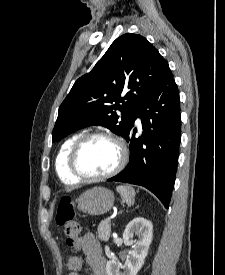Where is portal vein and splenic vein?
<instances>
[{"label": "portal vein and splenic vein", "mask_w": 225, "mask_h": 275, "mask_svg": "<svg viewBox=\"0 0 225 275\" xmlns=\"http://www.w3.org/2000/svg\"><path fill=\"white\" fill-rule=\"evenodd\" d=\"M106 220H107V221H111V218H107Z\"/></svg>", "instance_id": "obj_1"}]
</instances>
